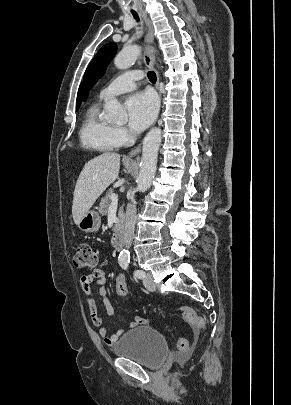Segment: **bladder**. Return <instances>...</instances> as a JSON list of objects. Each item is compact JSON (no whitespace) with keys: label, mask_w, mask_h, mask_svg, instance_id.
<instances>
[{"label":"bladder","mask_w":291,"mask_h":405,"mask_svg":"<svg viewBox=\"0 0 291 405\" xmlns=\"http://www.w3.org/2000/svg\"><path fill=\"white\" fill-rule=\"evenodd\" d=\"M117 356L131 359L148 368H158L169 354L162 333L151 326H138L129 330L113 346Z\"/></svg>","instance_id":"31cf9c89"}]
</instances>
